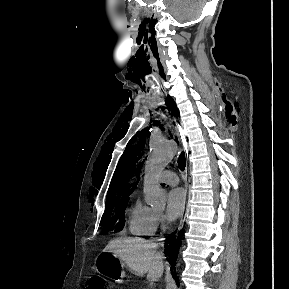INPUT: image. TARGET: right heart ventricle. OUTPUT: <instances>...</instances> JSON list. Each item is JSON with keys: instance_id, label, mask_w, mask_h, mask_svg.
<instances>
[{"instance_id": "right-heart-ventricle-1", "label": "right heart ventricle", "mask_w": 289, "mask_h": 289, "mask_svg": "<svg viewBox=\"0 0 289 289\" xmlns=\"http://www.w3.org/2000/svg\"><path fill=\"white\" fill-rule=\"evenodd\" d=\"M128 227L135 236H152L157 228V214L137 198L128 211Z\"/></svg>"}]
</instances>
